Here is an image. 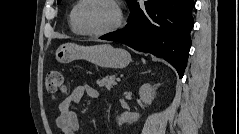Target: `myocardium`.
<instances>
[{"instance_id": "f54148a6", "label": "myocardium", "mask_w": 239, "mask_h": 134, "mask_svg": "<svg viewBox=\"0 0 239 134\" xmlns=\"http://www.w3.org/2000/svg\"><path fill=\"white\" fill-rule=\"evenodd\" d=\"M89 1H92V0H82V1H80V3L77 6V9L75 11L74 22H75V25L77 26L78 30L81 32V34L87 35V36L99 37V36H104V35H108L110 33H113L121 27V25L123 23V12H122L119 4L114 0H104L108 3H110L113 6V8L115 9V11H116L115 22L110 27H108L104 30H100V31L87 30L82 24L81 13H82L83 7Z\"/></svg>"}]
</instances>
